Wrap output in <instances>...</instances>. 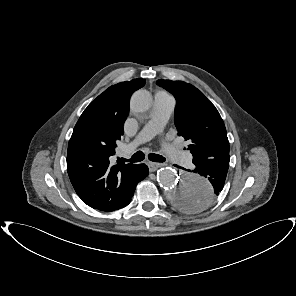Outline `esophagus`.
<instances>
[{
  "instance_id": "34e87169",
  "label": "esophagus",
  "mask_w": 296,
  "mask_h": 296,
  "mask_svg": "<svg viewBox=\"0 0 296 296\" xmlns=\"http://www.w3.org/2000/svg\"><path fill=\"white\" fill-rule=\"evenodd\" d=\"M148 168L150 172L156 171L159 167H161L163 164L160 163H154V162H147Z\"/></svg>"
}]
</instances>
